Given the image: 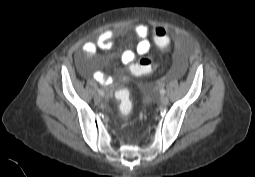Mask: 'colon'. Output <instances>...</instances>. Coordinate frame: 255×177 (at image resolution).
Wrapping results in <instances>:
<instances>
[{
    "instance_id": "colon-1",
    "label": "colon",
    "mask_w": 255,
    "mask_h": 177,
    "mask_svg": "<svg viewBox=\"0 0 255 177\" xmlns=\"http://www.w3.org/2000/svg\"><path fill=\"white\" fill-rule=\"evenodd\" d=\"M155 45L160 50H165L170 45V40L166 29L158 27L154 29ZM154 62L147 57L133 62L130 66V72L135 75L146 74L152 72L155 69ZM116 99L119 103L118 109L122 117H128L132 111V102L130 98V92L127 89H121L116 93Z\"/></svg>"
}]
</instances>
